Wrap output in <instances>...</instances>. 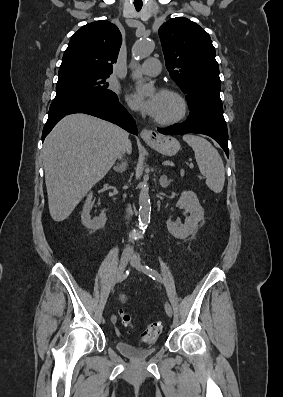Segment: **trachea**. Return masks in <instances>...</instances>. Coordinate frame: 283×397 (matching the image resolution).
<instances>
[{"instance_id": "3493384b", "label": "trachea", "mask_w": 283, "mask_h": 397, "mask_svg": "<svg viewBox=\"0 0 283 397\" xmlns=\"http://www.w3.org/2000/svg\"><path fill=\"white\" fill-rule=\"evenodd\" d=\"M141 8H142V5H135V9H136L137 11H140Z\"/></svg>"}]
</instances>
